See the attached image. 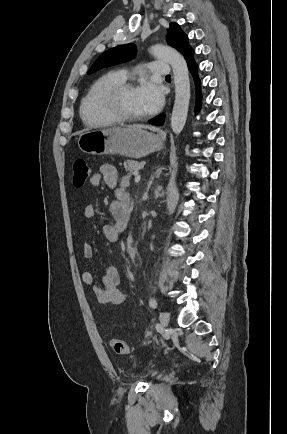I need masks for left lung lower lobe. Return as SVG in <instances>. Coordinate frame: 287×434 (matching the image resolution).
I'll use <instances>...</instances> for the list:
<instances>
[{"mask_svg":"<svg viewBox=\"0 0 287 434\" xmlns=\"http://www.w3.org/2000/svg\"><path fill=\"white\" fill-rule=\"evenodd\" d=\"M188 68L192 73L196 86V110L201 106V93H200V81L197 75V64L193 59V55L186 59ZM165 119V114H160L159 116L151 119L149 122L155 125H162Z\"/></svg>","mask_w":287,"mask_h":434,"instance_id":"obj_1","label":"left lung lower lobe"}]
</instances>
